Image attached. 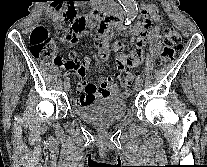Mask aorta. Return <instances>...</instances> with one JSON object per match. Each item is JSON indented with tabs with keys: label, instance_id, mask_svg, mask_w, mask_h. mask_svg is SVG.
Masks as SVG:
<instances>
[{
	"label": "aorta",
	"instance_id": "aorta-1",
	"mask_svg": "<svg viewBox=\"0 0 207 167\" xmlns=\"http://www.w3.org/2000/svg\"><path fill=\"white\" fill-rule=\"evenodd\" d=\"M125 10V24L129 25L136 18L137 15V4L135 0H120Z\"/></svg>",
	"mask_w": 207,
	"mask_h": 167
}]
</instances>
